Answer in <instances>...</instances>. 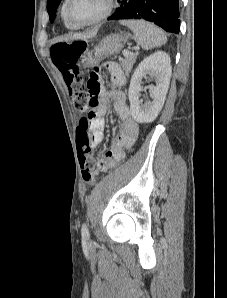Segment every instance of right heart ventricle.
Here are the masks:
<instances>
[{"instance_id": "1", "label": "right heart ventricle", "mask_w": 227, "mask_h": 298, "mask_svg": "<svg viewBox=\"0 0 227 298\" xmlns=\"http://www.w3.org/2000/svg\"><path fill=\"white\" fill-rule=\"evenodd\" d=\"M64 6H65V2L63 3L62 5V8H61V17L63 19V22H64V25L67 27V28H73V26L71 24H69V22L66 20L65 18V14H64Z\"/></svg>"}]
</instances>
